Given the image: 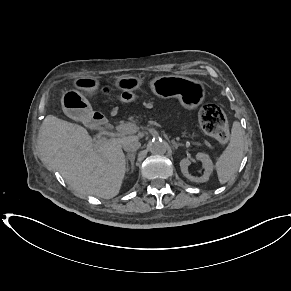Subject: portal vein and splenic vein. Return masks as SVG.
<instances>
[{"label":"portal vein and splenic vein","instance_id":"1","mask_svg":"<svg viewBox=\"0 0 291 291\" xmlns=\"http://www.w3.org/2000/svg\"><path fill=\"white\" fill-rule=\"evenodd\" d=\"M150 123L155 126H160L156 121H151ZM137 130H138V126L133 123H126V124H121V125L116 126V131L120 134H133V133H136ZM187 143H190V142L187 141ZM191 143L194 145H200L197 142H191Z\"/></svg>","mask_w":291,"mask_h":291}]
</instances>
